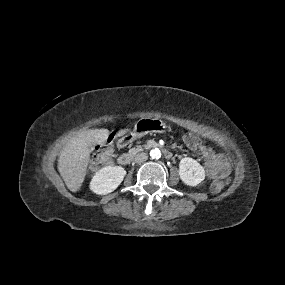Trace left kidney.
Listing matches in <instances>:
<instances>
[{"label": "left kidney", "instance_id": "left-kidney-1", "mask_svg": "<svg viewBox=\"0 0 285 285\" xmlns=\"http://www.w3.org/2000/svg\"><path fill=\"white\" fill-rule=\"evenodd\" d=\"M180 179L189 186H197L205 178L204 168L194 159L185 157L179 163Z\"/></svg>", "mask_w": 285, "mask_h": 285}]
</instances>
